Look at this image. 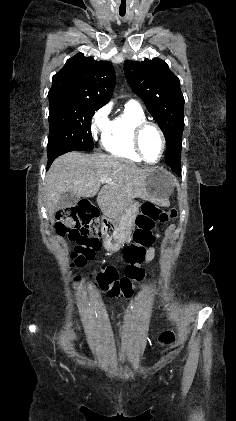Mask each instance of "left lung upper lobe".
<instances>
[{"label": "left lung upper lobe", "mask_w": 236, "mask_h": 421, "mask_svg": "<svg viewBox=\"0 0 236 421\" xmlns=\"http://www.w3.org/2000/svg\"><path fill=\"white\" fill-rule=\"evenodd\" d=\"M124 71L132 90L144 101L164 133L167 165H180L184 97L179 79L167 63L158 58L142 62L125 61Z\"/></svg>", "instance_id": "left-lung-upper-lobe-1"}]
</instances>
